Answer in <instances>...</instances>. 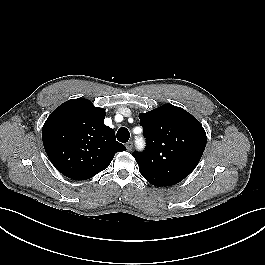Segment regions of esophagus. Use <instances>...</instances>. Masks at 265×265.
Listing matches in <instances>:
<instances>
[{
  "mask_svg": "<svg viewBox=\"0 0 265 265\" xmlns=\"http://www.w3.org/2000/svg\"><path fill=\"white\" fill-rule=\"evenodd\" d=\"M132 147H133V142L132 141H129V142L126 143V148H127L128 151H131Z\"/></svg>",
  "mask_w": 265,
  "mask_h": 265,
  "instance_id": "1",
  "label": "esophagus"
}]
</instances>
